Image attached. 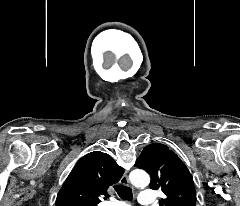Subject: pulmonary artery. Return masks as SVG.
Returning a JSON list of instances; mask_svg holds the SVG:
<instances>
[{
	"label": "pulmonary artery",
	"mask_w": 240,
	"mask_h": 206,
	"mask_svg": "<svg viewBox=\"0 0 240 206\" xmlns=\"http://www.w3.org/2000/svg\"><path fill=\"white\" fill-rule=\"evenodd\" d=\"M138 201L141 205H151L154 201L153 192L151 190H144L139 194ZM107 206H130L129 204L121 201L112 202Z\"/></svg>",
	"instance_id": "e3ab8cb5"
}]
</instances>
